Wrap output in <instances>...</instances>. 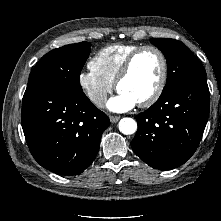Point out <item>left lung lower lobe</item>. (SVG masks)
Instances as JSON below:
<instances>
[{
  "label": "left lung lower lobe",
  "mask_w": 221,
  "mask_h": 221,
  "mask_svg": "<svg viewBox=\"0 0 221 221\" xmlns=\"http://www.w3.org/2000/svg\"><path fill=\"white\" fill-rule=\"evenodd\" d=\"M206 76L185 80L162 93L157 102L136 116L138 130L131 142L149 166L170 170L196 151L209 116Z\"/></svg>",
  "instance_id": "left-lung-lower-lobe-1"
}]
</instances>
